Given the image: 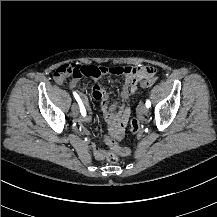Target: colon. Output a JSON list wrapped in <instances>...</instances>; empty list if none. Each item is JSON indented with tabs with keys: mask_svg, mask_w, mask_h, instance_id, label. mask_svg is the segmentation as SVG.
<instances>
[{
	"mask_svg": "<svg viewBox=\"0 0 217 217\" xmlns=\"http://www.w3.org/2000/svg\"><path fill=\"white\" fill-rule=\"evenodd\" d=\"M155 70L150 66H130V65H115V66H80L77 62L65 63L63 66L59 67L55 71V79L58 83L63 84L66 81L72 79H79L82 77H86L89 79H96L103 74H118V75H133L136 78L141 77L142 75L148 72H152ZM155 77L148 78V80H143L138 85L141 87L142 85L145 87L151 86L156 82ZM131 131L136 133L140 130V125L137 119H132L130 123ZM102 141L107 146V148L112 152H119L123 156L131 155V150L125 148L120 144H115L112 139L108 135L102 136ZM107 160L111 164L117 163V158L115 154L111 152H107L106 154Z\"/></svg>",
	"mask_w": 217,
	"mask_h": 217,
	"instance_id": "colon-1",
	"label": "colon"
}]
</instances>
